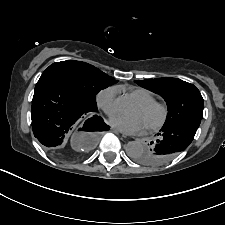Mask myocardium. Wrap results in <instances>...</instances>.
<instances>
[{"label":"myocardium","instance_id":"obj_1","mask_svg":"<svg viewBox=\"0 0 225 225\" xmlns=\"http://www.w3.org/2000/svg\"><path fill=\"white\" fill-rule=\"evenodd\" d=\"M139 106L145 111L158 109L161 113L158 121L148 126L150 130H159L166 124L169 117V108L165 103L153 100L147 103H139Z\"/></svg>","mask_w":225,"mask_h":225}]
</instances>
